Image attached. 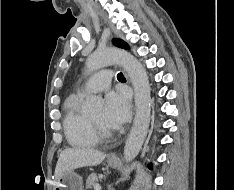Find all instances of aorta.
Masks as SVG:
<instances>
[{"label": "aorta", "mask_w": 234, "mask_h": 190, "mask_svg": "<svg viewBox=\"0 0 234 190\" xmlns=\"http://www.w3.org/2000/svg\"><path fill=\"white\" fill-rule=\"evenodd\" d=\"M120 64L129 75L135 93L134 123L124 147V158L127 162L133 160L139 153L148 133L151 117L150 84L145 68L129 52L117 48L98 49L92 53L86 62L88 71H96L106 65ZM102 99L98 96L88 98V107L95 109Z\"/></svg>", "instance_id": "1"}]
</instances>
